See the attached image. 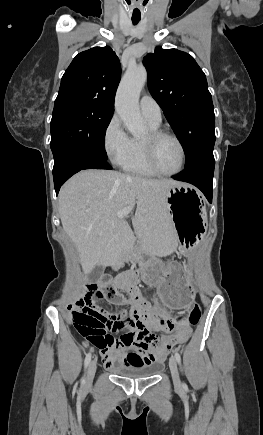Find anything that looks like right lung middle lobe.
Masks as SVG:
<instances>
[{
  "instance_id": "obj_1",
  "label": "right lung middle lobe",
  "mask_w": 263,
  "mask_h": 435,
  "mask_svg": "<svg viewBox=\"0 0 263 435\" xmlns=\"http://www.w3.org/2000/svg\"><path fill=\"white\" fill-rule=\"evenodd\" d=\"M113 112L112 109L85 103L54 106L50 143L54 162H59L69 153L107 160L104 142Z\"/></svg>"
}]
</instances>
